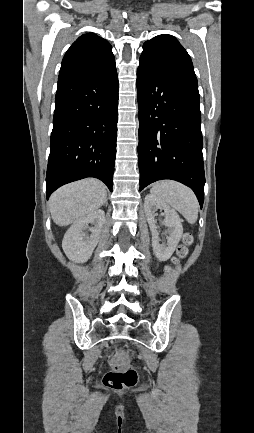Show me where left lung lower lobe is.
<instances>
[{
  "label": "left lung lower lobe",
  "mask_w": 254,
  "mask_h": 433,
  "mask_svg": "<svg viewBox=\"0 0 254 433\" xmlns=\"http://www.w3.org/2000/svg\"><path fill=\"white\" fill-rule=\"evenodd\" d=\"M137 90L140 191L172 179L190 187L202 208L205 175L197 83L139 60Z\"/></svg>",
  "instance_id": "0a47b994"
}]
</instances>
